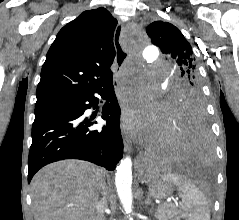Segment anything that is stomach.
<instances>
[{
  "instance_id": "obj_1",
  "label": "stomach",
  "mask_w": 239,
  "mask_h": 220,
  "mask_svg": "<svg viewBox=\"0 0 239 220\" xmlns=\"http://www.w3.org/2000/svg\"><path fill=\"white\" fill-rule=\"evenodd\" d=\"M172 192L173 186L169 181L152 178V183H149V194L155 198H166Z\"/></svg>"
}]
</instances>
